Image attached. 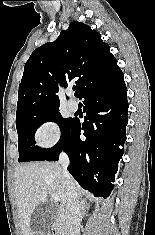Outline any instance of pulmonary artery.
I'll list each match as a JSON object with an SVG mask.
<instances>
[{
  "label": "pulmonary artery",
  "instance_id": "1",
  "mask_svg": "<svg viewBox=\"0 0 155 235\" xmlns=\"http://www.w3.org/2000/svg\"><path fill=\"white\" fill-rule=\"evenodd\" d=\"M68 106L70 110L76 111L78 109V102L75 98L71 97L68 101Z\"/></svg>",
  "mask_w": 155,
  "mask_h": 235
}]
</instances>
